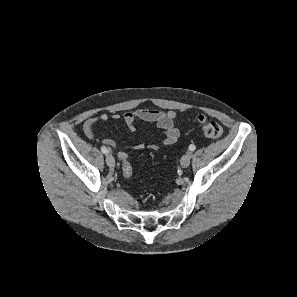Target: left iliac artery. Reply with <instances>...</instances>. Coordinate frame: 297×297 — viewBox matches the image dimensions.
Returning <instances> with one entry per match:
<instances>
[{
	"mask_svg": "<svg viewBox=\"0 0 297 297\" xmlns=\"http://www.w3.org/2000/svg\"><path fill=\"white\" fill-rule=\"evenodd\" d=\"M195 148H196V146H195L194 144H191V145L189 146V150H190V151H194Z\"/></svg>",
	"mask_w": 297,
	"mask_h": 297,
	"instance_id": "obj_1",
	"label": "left iliac artery"
}]
</instances>
